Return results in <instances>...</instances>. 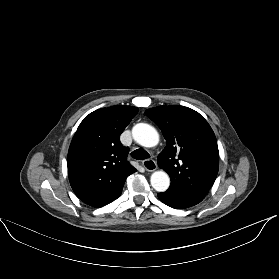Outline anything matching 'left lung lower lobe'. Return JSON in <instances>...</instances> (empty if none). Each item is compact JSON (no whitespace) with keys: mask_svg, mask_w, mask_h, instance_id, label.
Returning a JSON list of instances; mask_svg holds the SVG:
<instances>
[{"mask_svg":"<svg viewBox=\"0 0 279 279\" xmlns=\"http://www.w3.org/2000/svg\"><path fill=\"white\" fill-rule=\"evenodd\" d=\"M158 198L166 205L175 209H185L194 206L202 201L195 197L183 195L168 190L163 193H159Z\"/></svg>","mask_w":279,"mask_h":279,"instance_id":"1","label":"left lung lower lobe"}]
</instances>
